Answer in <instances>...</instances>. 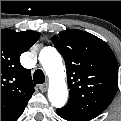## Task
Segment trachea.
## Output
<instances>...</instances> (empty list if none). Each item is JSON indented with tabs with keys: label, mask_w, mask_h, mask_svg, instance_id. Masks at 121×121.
Wrapping results in <instances>:
<instances>
[{
	"label": "trachea",
	"mask_w": 121,
	"mask_h": 121,
	"mask_svg": "<svg viewBox=\"0 0 121 121\" xmlns=\"http://www.w3.org/2000/svg\"><path fill=\"white\" fill-rule=\"evenodd\" d=\"M33 80L36 84H42L45 81V75L41 69H37L34 72Z\"/></svg>",
	"instance_id": "3493384b"
}]
</instances>
